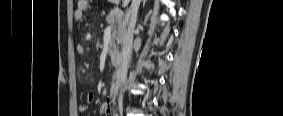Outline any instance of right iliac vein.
<instances>
[{"instance_id": "1", "label": "right iliac vein", "mask_w": 283, "mask_h": 116, "mask_svg": "<svg viewBox=\"0 0 283 116\" xmlns=\"http://www.w3.org/2000/svg\"><path fill=\"white\" fill-rule=\"evenodd\" d=\"M120 114H122V109H120Z\"/></svg>"}]
</instances>
